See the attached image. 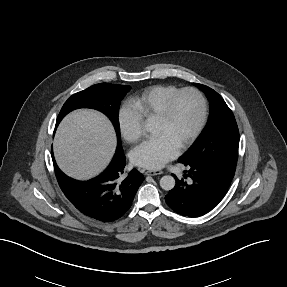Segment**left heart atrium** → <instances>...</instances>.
Here are the masks:
<instances>
[{
  "mask_svg": "<svg viewBox=\"0 0 287 287\" xmlns=\"http://www.w3.org/2000/svg\"><path fill=\"white\" fill-rule=\"evenodd\" d=\"M178 149L167 137L158 136L139 145L132 153V160L140 167L156 170L175 158Z\"/></svg>",
  "mask_w": 287,
  "mask_h": 287,
  "instance_id": "39dd6f15",
  "label": "left heart atrium"
}]
</instances>
